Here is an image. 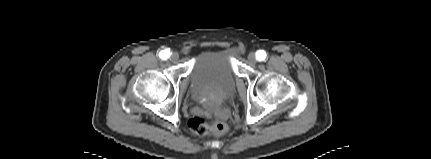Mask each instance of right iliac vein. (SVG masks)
Returning <instances> with one entry per match:
<instances>
[{
	"label": "right iliac vein",
	"instance_id": "obj_1",
	"mask_svg": "<svg viewBox=\"0 0 431 159\" xmlns=\"http://www.w3.org/2000/svg\"><path fill=\"white\" fill-rule=\"evenodd\" d=\"M170 59L174 62L177 61L179 59V54L176 52L172 53Z\"/></svg>",
	"mask_w": 431,
	"mask_h": 159
}]
</instances>
